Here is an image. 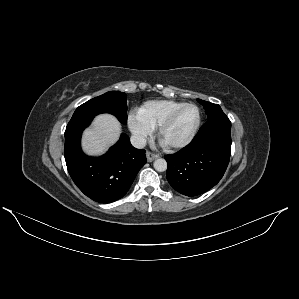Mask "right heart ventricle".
I'll return each instance as SVG.
<instances>
[{
	"instance_id": "obj_1",
	"label": "right heart ventricle",
	"mask_w": 299,
	"mask_h": 299,
	"mask_svg": "<svg viewBox=\"0 0 299 299\" xmlns=\"http://www.w3.org/2000/svg\"><path fill=\"white\" fill-rule=\"evenodd\" d=\"M183 104L185 103L175 100L148 101L138 109V116L151 129H156L173 110Z\"/></svg>"
}]
</instances>
